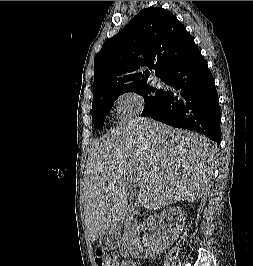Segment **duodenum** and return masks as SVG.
<instances>
[{
	"label": "duodenum",
	"instance_id": "410a0bca",
	"mask_svg": "<svg viewBox=\"0 0 253 266\" xmlns=\"http://www.w3.org/2000/svg\"><path fill=\"white\" fill-rule=\"evenodd\" d=\"M103 238H104L105 243L109 244V243L113 242L115 235H114V233H107L106 235H104Z\"/></svg>",
	"mask_w": 253,
	"mask_h": 266
}]
</instances>
